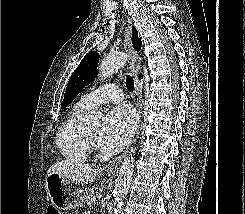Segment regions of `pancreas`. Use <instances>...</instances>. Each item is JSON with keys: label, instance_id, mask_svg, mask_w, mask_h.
Returning <instances> with one entry per match:
<instances>
[{"label": "pancreas", "instance_id": "cf45deb5", "mask_svg": "<svg viewBox=\"0 0 245 214\" xmlns=\"http://www.w3.org/2000/svg\"><path fill=\"white\" fill-rule=\"evenodd\" d=\"M98 194H99V191H98L97 187L93 186L89 190L87 205L92 206L93 204H95L96 203V197Z\"/></svg>", "mask_w": 245, "mask_h": 214}]
</instances>
